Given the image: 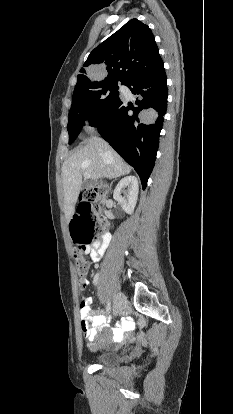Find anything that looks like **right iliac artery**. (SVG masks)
Instances as JSON below:
<instances>
[{"label":"right iliac artery","mask_w":233,"mask_h":414,"mask_svg":"<svg viewBox=\"0 0 233 414\" xmlns=\"http://www.w3.org/2000/svg\"><path fill=\"white\" fill-rule=\"evenodd\" d=\"M111 311V304L110 302L107 303V312L109 313Z\"/></svg>","instance_id":"obj_1"}]
</instances>
